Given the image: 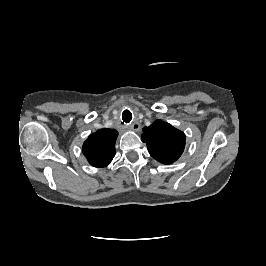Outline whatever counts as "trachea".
<instances>
[{"instance_id":"3493384b","label":"trachea","mask_w":266,"mask_h":266,"mask_svg":"<svg viewBox=\"0 0 266 266\" xmlns=\"http://www.w3.org/2000/svg\"><path fill=\"white\" fill-rule=\"evenodd\" d=\"M122 119L125 123H129L132 120V114L129 110H124L122 113Z\"/></svg>"}]
</instances>
